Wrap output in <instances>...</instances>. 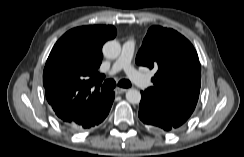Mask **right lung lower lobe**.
<instances>
[{
	"label": "right lung lower lobe",
	"mask_w": 244,
	"mask_h": 157,
	"mask_svg": "<svg viewBox=\"0 0 244 157\" xmlns=\"http://www.w3.org/2000/svg\"><path fill=\"white\" fill-rule=\"evenodd\" d=\"M114 100V92H109V97L105 103L102 104L101 108L92 112L87 118L83 120V122L78 123H64L67 127L74 130H84L90 129L94 126L99 125L108 115L110 108L112 106Z\"/></svg>",
	"instance_id": "right-lung-lower-lobe-1"
}]
</instances>
